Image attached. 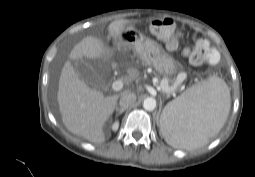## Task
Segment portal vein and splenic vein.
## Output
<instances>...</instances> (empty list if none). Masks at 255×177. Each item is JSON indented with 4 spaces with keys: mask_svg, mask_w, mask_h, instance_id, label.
I'll use <instances>...</instances> for the list:
<instances>
[{
    "mask_svg": "<svg viewBox=\"0 0 255 177\" xmlns=\"http://www.w3.org/2000/svg\"><path fill=\"white\" fill-rule=\"evenodd\" d=\"M122 87H123V82L121 80H116L112 84V89L114 91H120ZM161 88L166 93H172L174 92V89H175V87H169V86H163Z\"/></svg>",
    "mask_w": 255,
    "mask_h": 177,
    "instance_id": "18ae733b",
    "label": "portal vein and splenic vein"
}]
</instances>
